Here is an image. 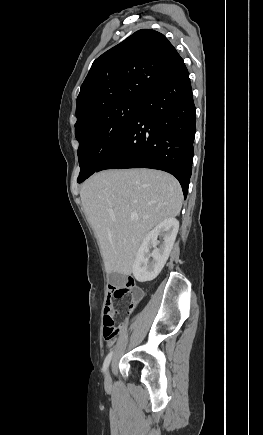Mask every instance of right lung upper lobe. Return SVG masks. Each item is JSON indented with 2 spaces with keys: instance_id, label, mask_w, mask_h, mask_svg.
Here are the masks:
<instances>
[{
  "instance_id": "cb5924a9",
  "label": "right lung upper lobe",
  "mask_w": 263,
  "mask_h": 435,
  "mask_svg": "<svg viewBox=\"0 0 263 435\" xmlns=\"http://www.w3.org/2000/svg\"><path fill=\"white\" fill-rule=\"evenodd\" d=\"M183 66L163 34L151 29L133 33L93 62L77 97L75 128L106 104L144 100Z\"/></svg>"
}]
</instances>
